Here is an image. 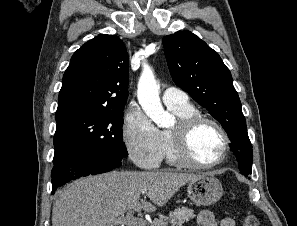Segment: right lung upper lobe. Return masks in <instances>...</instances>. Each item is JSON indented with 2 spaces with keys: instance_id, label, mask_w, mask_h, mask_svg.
<instances>
[{
  "instance_id": "obj_1",
  "label": "right lung upper lobe",
  "mask_w": 297,
  "mask_h": 226,
  "mask_svg": "<svg viewBox=\"0 0 297 226\" xmlns=\"http://www.w3.org/2000/svg\"><path fill=\"white\" fill-rule=\"evenodd\" d=\"M126 47L115 35H99L72 56L59 92L56 120L85 112H119L128 97Z\"/></svg>"
}]
</instances>
